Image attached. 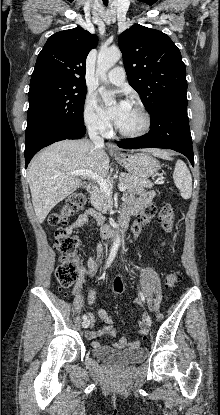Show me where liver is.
I'll list each match as a JSON object with an SVG mask.
<instances>
[{"label": "liver", "mask_w": 220, "mask_h": 415, "mask_svg": "<svg viewBox=\"0 0 220 415\" xmlns=\"http://www.w3.org/2000/svg\"><path fill=\"white\" fill-rule=\"evenodd\" d=\"M109 162L104 148H96L87 139L59 141L39 152L27 173L38 222L82 185V179L71 172L89 170L106 177Z\"/></svg>", "instance_id": "6515ba94"}]
</instances>
